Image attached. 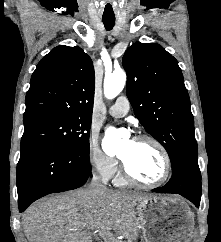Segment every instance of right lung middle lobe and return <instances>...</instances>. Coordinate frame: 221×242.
<instances>
[{"instance_id":"obj_1","label":"right lung middle lobe","mask_w":221,"mask_h":242,"mask_svg":"<svg viewBox=\"0 0 221 242\" xmlns=\"http://www.w3.org/2000/svg\"><path fill=\"white\" fill-rule=\"evenodd\" d=\"M91 118L72 116L25 125L21 143L45 141L89 155Z\"/></svg>"}]
</instances>
